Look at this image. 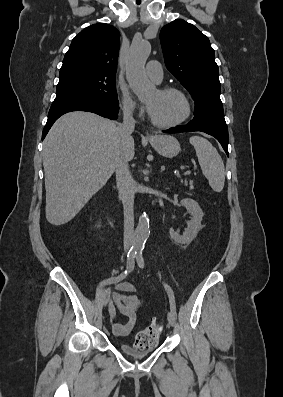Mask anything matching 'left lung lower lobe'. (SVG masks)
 Returning <instances> with one entry per match:
<instances>
[{"label":"left lung lower lobe","instance_id":"obj_1","mask_svg":"<svg viewBox=\"0 0 283 397\" xmlns=\"http://www.w3.org/2000/svg\"><path fill=\"white\" fill-rule=\"evenodd\" d=\"M193 131L205 132L215 137L220 142L226 154L228 155V127L223 117L200 114L194 116L193 120H191L188 124L184 126H177L163 132L179 133Z\"/></svg>","mask_w":283,"mask_h":397}]
</instances>
